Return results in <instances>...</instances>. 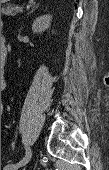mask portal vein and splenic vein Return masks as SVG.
I'll use <instances>...</instances> for the list:
<instances>
[{"label": "portal vein and splenic vein", "mask_w": 109, "mask_h": 170, "mask_svg": "<svg viewBox=\"0 0 109 170\" xmlns=\"http://www.w3.org/2000/svg\"><path fill=\"white\" fill-rule=\"evenodd\" d=\"M20 12H23V8L20 9Z\"/></svg>", "instance_id": "portal-vein-and-splenic-vein-1"}]
</instances>
